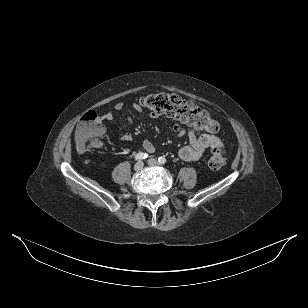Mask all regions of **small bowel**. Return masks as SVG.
<instances>
[{"label": "small bowel", "instance_id": "small-bowel-1", "mask_svg": "<svg viewBox=\"0 0 308 308\" xmlns=\"http://www.w3.org/2000/svg\"><path fill=\"white\" fill-rule=\"evenodd\" d=\"M126 107V104L123 102H119L115 105L116 111H122ZM132 107L136 114H139L141 112V108L137 104H132ZM150 116L152 118L157 117V114L151 113ZM114 118L113 113L107 112L103 116L100 117L101 121H112ZM128 123L130 125L133 124V117L129 116L127 118ZM174 131L178 137H181L187 133L188 139H189V145L182 147L179 150V157L185 161H196L199 160L206 149H213L216 147L223 148V142L219 137L213 134L204 133L199 131L196 128H189L188 130L184 129L183 126L179 123H177L174 126ZM105 132V129H104ZM120 140L123 142H130L132 140V135L130 133H125L120 136ZM143 148L145 151L152 153L155 150L154 145L149 140L143 141Z\"/></svg>", "mask_w": 308, "mask_h": 308}]
</instances>
